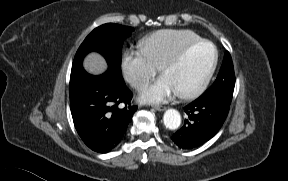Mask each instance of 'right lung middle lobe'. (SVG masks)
Wrapping results in <instances>:
<instances>
[{
  "instance_id": "obj_1",
  "label": "right lung middle lobe",
  "mask_w": 288,
  "mask_h": 181,
  "mask_svg": "<svg viewBox=\"0 0 288 181\" xmlns=\"http://www.w3.org/2000/svg\"><path fill=\"white\" fill-rule=\"evenodd\" d=\"M134 28L118 24L108 23L95 28L80 45L72 64L71 77L83 70L82 60L84 56L96 51L101 53L107 63L108 72L116 79L122 80L121 52L123 41L129 37Z\"/></svg>"
}]
</instances>
